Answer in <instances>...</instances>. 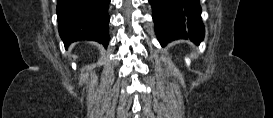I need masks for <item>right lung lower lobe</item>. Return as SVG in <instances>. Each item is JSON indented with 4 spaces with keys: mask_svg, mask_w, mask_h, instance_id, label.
<instances>
[{
    "mask_svg": "<svg viewBox=\"0 0 273 118\" xmlns=\"http://www.w3.org/2000/svg\"><path fill=\"white\" fill-rule=\"evenodd\" d=\"M110 0H57L58 29L67 47L77 40L109 43Z\"/></svg>",
    "mask_w": 273,
    "mask_h": 118,
    "instance_id": "1",
    "label": "right lung lower lobe"
}]
</instances>
